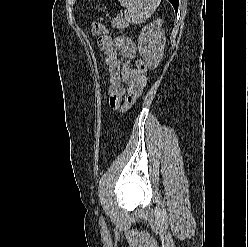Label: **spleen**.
<instances>
[{"mask_svg": "<svg viewBox=\"0 0 248 247\" xmlns=\"http://www.w3.org/2000/svg\"><path fill=\"white\" fill-rule=\"evenodd\" d=\"M161 0H119L128 23L140 24L155 11Z\"/></svg>", "mask_w": 248, "mask_h": 247, "instance_id": "spleen-1", "label": "spleen"}]
</instances>
